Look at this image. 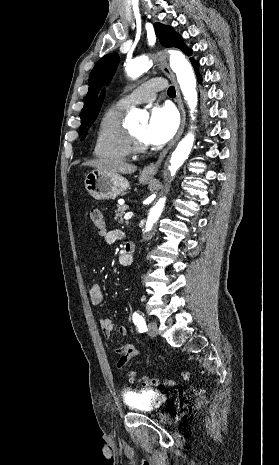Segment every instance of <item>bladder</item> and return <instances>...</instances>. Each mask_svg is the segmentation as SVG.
<instances>
[{
    "instance_id": "bladder-1",
    "label": "bladder",
    "mask_w": 279,
    "mask_h": 465,
    "mask_svg": "<svg viewBox=\"0 0 279 465\" xmlns=\"http://www.w3.org/2000/svg\"><path fill=\"white\" fill-rule=\"evenodd\" d=\"M125 402L132 411L150 413L162 408L167 397L155 391L130 390L125 394Z\"/></svg>"
}]
</instances>
